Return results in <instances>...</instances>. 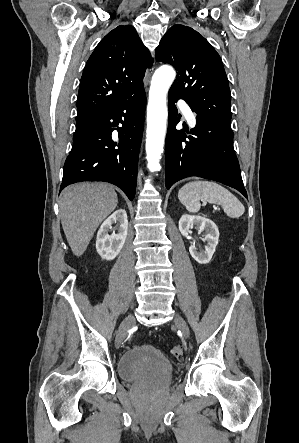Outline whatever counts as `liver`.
Returning <instances> with one entry per match:
<instances>
[{
	"label": "liver",
	"mask_w": 299,
	"mask_h": 443,
	"mask_svg": "<svg viewBox=\"0 0 299 443\" xmlns=\"http://www.w3.org/2000/svg\"><path fill=\"white\" fill-rule=\"evenodd\" d=\"M117 203L113 187L103 183H78L62 191L59 201L61 223L74 255H83L96 229L114 211Z\"/></svg>",
	"instance_id": "obj_1"
}]
</instances>
